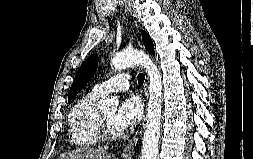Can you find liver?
Listing matches in <instances>:
<instances>
[{
	"mask_svg": "<svg viewBox=\"0 0 253 159\" xmlns=\"http://www.w3.org/2000/svg\"><path fill=\"white\" fill-rule=\"evenodd\" d=\"M59 159H116V157L103 149L79 148L61 154Z\"/></svg>",
	"mask_w": 253,
	"mask_h": 159,
	"instance_id": "liver-1",
	"label": "liver"
}]
</instances>
